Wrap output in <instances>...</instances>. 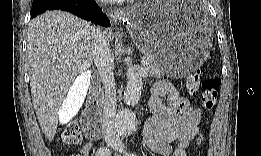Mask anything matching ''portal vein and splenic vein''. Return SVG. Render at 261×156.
I'll list each match as a JSON object with an SVG mask.
<instances>
[{"label": "portal vein and splenic vein", "instance_id": "1", "mask_svg": "<svg viewBox=\"0 0 261 156\" xmlns=\"http://www.w3.org/2000/svg\"><path fill=\"white\" fill-rule=\"evenodd\" d=\"M147 63H148V62H147V60H146V59H142V61H141V65H142V66H146V65H147Z\"/></svg>", "mask_w": 261, "mask_h": 156}]
</instances>
